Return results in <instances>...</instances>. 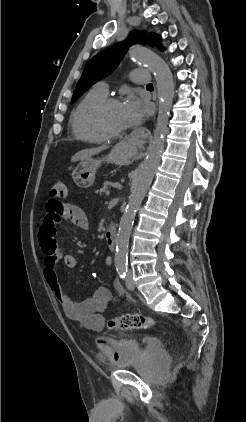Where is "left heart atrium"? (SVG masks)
Returning a JSON list of instances; mask_svg holds the SVG:
<instances>
[{
    "instance_id": "obj_1",
    "label": "left heart atrium",
    "mask_w": 246,
    "mask_h": 422,
    "mask_svg": "<svg viewBox=\"0 0 246 422\" xmlns=\"http://www.w3.org/2000/svg\"><path fill=\"white\" fill-rule=\"evenodd\" d=\"M122 106V118L125 128L139 124L144 115L145 108L142 102L135 96H129Z\"/></svg>"
}]
</instances>
